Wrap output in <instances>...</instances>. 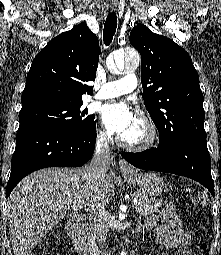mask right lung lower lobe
Listing matches in <instances>:
<instances>
[{"instance_id":"98d812e1","label":"right lung lower lobe","mask_w":221,"mask_h":255,"mask_svg":"<svg viewBox=\"0 0 221 255\" xmlns=\"http://www.w3.org/2000/svg\"><path fill=\"white\" fill-rule=\"evenodd\" d=\"M96 125L85 133H70L48 125L21 123L11 161L6 198L26 175L46 167H79L94 153Z\"/></svg>"}]
</instances>
